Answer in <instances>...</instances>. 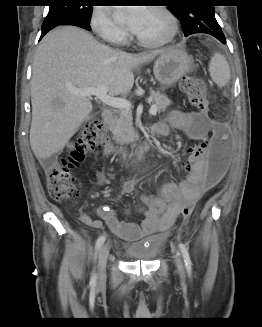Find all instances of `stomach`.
<instances>
[{"label":"stomach","instance_id":"stomach-1","mask_svg":"<svg viewBox=\"0 0 262 327\" xmlns=\"http://www.w3.org/2000/svg\"><path fill=\"white\" fill-rule=\"evenodd\" d=\"M192 58L183 49H171L156 59L153 73L162 89L173 86L192 68Z\"/></svg>","mask_w":262,"mask_h":327}]
</instances>
